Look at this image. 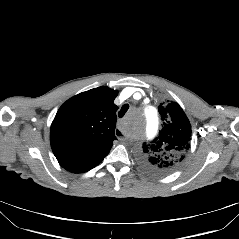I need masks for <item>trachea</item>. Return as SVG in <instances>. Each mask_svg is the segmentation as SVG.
Returning a JSON list of instances; mask_svg holds the SVG:
<instances>
[{
	"instance_id": "1",
	"label": "trachea",
	"mask_w": 239,
	"mask_h": 239,
	"mask_svg": "<svg viewBox=\"0 0 239 239\" xmlns=\"http://www.w3.org/2000/svg\"><path fill=\"white\" fill-rule=\"evenodd\" d=\"M129 109V105L125 104L122 106V108L120 109V111L118 112V116L121 118L125 115V113L128 111Z\"/></svg>"
}]
</instances>
